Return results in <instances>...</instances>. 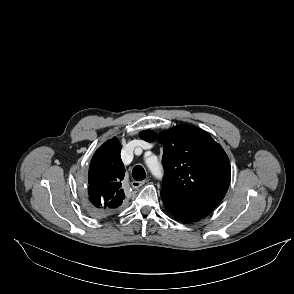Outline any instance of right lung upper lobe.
Returning a JSON list of instances; mask_svg holds the SVG:
<instances>
[{"mask_svg": "<svg viewBox=\"0 0 294 294\" xmlns=\"http://www.w3.org/2000/svg\"><path fill=\"white\" fill-rule=\"evenodd\" d=\"M121 144L116 137L100 146L89 167V201L94 213L109 216L125 198L121 189L125 168L120 157Z\"/></svg>", "mask_w": 294, "mask_h": 294, "instance_id": "right-lung-upper-lobe-1", "label": "right lung upper lobe"}]
</instances>
